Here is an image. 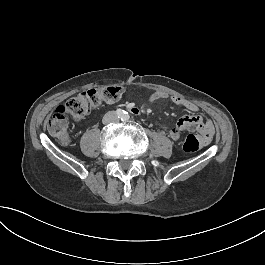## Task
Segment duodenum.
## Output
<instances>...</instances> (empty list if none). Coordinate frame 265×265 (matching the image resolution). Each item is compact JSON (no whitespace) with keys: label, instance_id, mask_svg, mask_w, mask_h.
Segmentation results:
<instances>
[{"label":"duodenum","instance_id":"obj_1","mask_svg":"<svg viewBox=\"0 0 265 265\" xmlns=\"http://www.w3.org/2000/svg\"><path fill=\"white\" fill-rule=\"evenodd\" d=\"M131 112H133L134 114H139L140 113V110L138 108H135V107H132L130 109Z\"/></svg>","mask_w":265,"mask_h":265}]
</instances>
